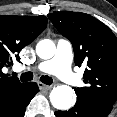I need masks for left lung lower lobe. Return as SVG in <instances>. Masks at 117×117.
I'll use <instances>...</instances> for the list:
<instances>
[{"label":"left lung lower lobe","mask_w":117,"mask_h":117,"mask_svg":"<svg viewBox=\"0 0 117 117\" xmlns=\"http://www.w3.org/2000/svg\"><path fill=\"white\" fill-rule=\"evenodd\" d=\"M113 105L89 99L77 98L75 106L69 111H57L56 117H107Z\"/></svg>","instance_id":"1"}]
</instances>
